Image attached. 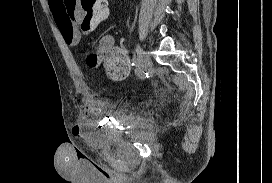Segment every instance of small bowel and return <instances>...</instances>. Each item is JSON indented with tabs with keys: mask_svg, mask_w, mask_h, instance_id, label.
Wrapping results in <instances>:
<instances>
[{
	"mask_svg": "<svg viewBox=\"0 0 272 183\" xmlns=\"http://www.w3.org/2000/svg\"><path fill=\"white\" fill-rule=\"evenodd\" d=\"M67 0H48V5L53 14L58 29L63 40L70 46H76L81 40L82 32L77 27L78 13L73 23L67 21L66 6ZM99 61L104 59L110 75L115 79H124L130 72V64L126 51L123 48L114 46V37L104 35L98 44ZM87 110H84L77 116V122H80Z\"/></svg>",
	"mask_w": 272,
	"mask_h": 183,
	"instance_id": "small-bowel-1",
	"label": "small bowel"
}]
</instances>
